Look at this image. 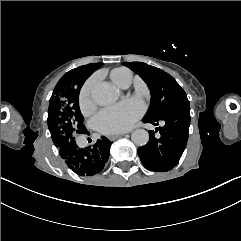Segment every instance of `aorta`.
<instances>
[{
    "label": "aorta",
    "instance_id": "762f6f07",
    "mask_svg": "<svg viewBox=\"0 0 241 241\" xmlns=\"http://www.w3.org/2000/svg\"><path fill=\"white\" fill-rule=\"evenodd\" d=\"M91 97L100 106L113 104L119 97V90L108 82H98L91 90ZM131 139L137 146H144L149 141V133L144 129H136Z\"/></svg>",
    "mask_w": 241,
    "mask_h": 241
}]
</instances>
